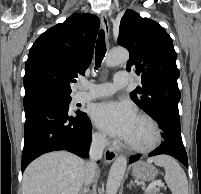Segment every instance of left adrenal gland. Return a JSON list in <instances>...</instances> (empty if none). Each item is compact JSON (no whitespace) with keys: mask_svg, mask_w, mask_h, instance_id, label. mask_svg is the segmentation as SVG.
Instances as JSON below:
<instances>
[{"mask_svg":"<svg viewBox=\"0 0 201 194\" xmlns=\"http://www.w3.org/2000/svg\"><path fill=\"white\" fill-rule=\"evenodd\" d=\"M132 186H135V184L133 183V181H130V184L128 185V188L131 189Z\"/></svg>","mask_w":201,"mask_h":194,"instance_id":"a2214340","label":"left adrenal gland"}]
</instances>
